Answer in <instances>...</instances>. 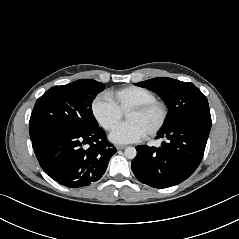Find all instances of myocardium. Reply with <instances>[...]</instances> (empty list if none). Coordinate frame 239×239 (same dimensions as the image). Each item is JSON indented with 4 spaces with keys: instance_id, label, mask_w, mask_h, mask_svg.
I'll list each match as a JSON object with an SVG mask.
<instances>
[{
    "instance_id": "f54148a6",
    "label": "myocardium",
    "mask_w": 239,
    "mask_h": 239,
    "mask_svg": "<svg viewBox=\"0 0 239 239\" xmlns=\"http://www.w3.org/2000/svg\"><path fill=\"white\" fill-rule=\"evenodd\" d=\"M151 111H157L159 114V119L156 125L147 133L148 136L153 137L162 130L168 119V109L164 103L156 100L140 104L132 107L127 113H147Z\"/></svg>"
}]
</instances>
